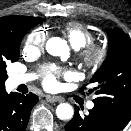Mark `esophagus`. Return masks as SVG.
Returning <instances> with one entry per match:
<instances>
[{"label":"esophagus","mask_w":131,"mask_h":131,"mask_svg":"<svg viewBox=\"0 0 131 131\" xmlns=\"http://www.w3.org/2000/svg\"><path fill=\"white\" fill-rule=\"evenodd\" d=\"M45 99L49 103H53V102H56V101H59V102L63 101V98H61V97L50 96V95H47Z\"/></svg>","instance_id":"34e87169"}]
</instances>
